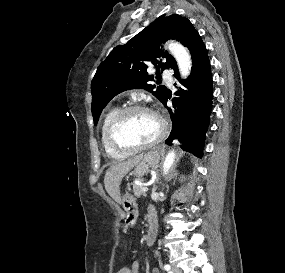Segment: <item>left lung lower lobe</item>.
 <instances>
[{
	"label": "left lung lower lobe",
	"mask_w": 285,
	"mask_h": 273,
	"mask_svg": "<svg viewBox=\"0 0 285 273\" xmlns=\"http://www.w3.org/2000/svg\"><path fill=\"white\" fill-rule=\"evenodd\" d=\"M187 47L193 66L186 80L180 79L177 65L173 68L183 87L175 93L179 97L172 100L173 109L167 108L172 130L166 144L178 139L183 149L201 157L212 109V75L206 47L197 31L192 32ZM166 102L167 96L162 101L165 107Z\"/></svg>",
	"instance_id": "obj_1"
}]
</instances>
